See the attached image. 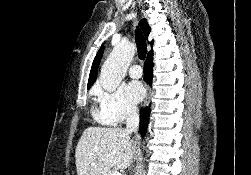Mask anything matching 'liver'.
<instances>
[{
  "label": "liver",
  "instance_id": "6515ba94",
  "mask_svg": "<svg viewBox=\"0 0 251 175\" xmlns=\"http://www.w3.org/2000/svg\"><path fill=\"white\" fill-rule=\"evenodd\" d=\"M134 145L123 127H86L75 149L78 175H103L105 169H125Z\"/></svg>",
  "mask_w": 251,
  "mask_h": 175
}]
</instances>
